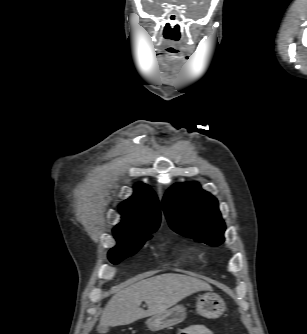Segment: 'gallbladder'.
<instances>
[{"mask_svg":"<svg viewBox=\"0 0 307 334\" xmlns=\"http://www.w3.org/2000/svg\"><path fill=\"white\" fill-rule=\"evenodd\" d=\"M108 330H109L108 327H105V326H103V325H101V324H99L98 327H97V331H98L100 334H105V333L108 332Z\"/></svg>","mask_w":307,"mask_h":334,"instance_id":"gallbladder-1","label":"gallbladder"}]
</instances>
